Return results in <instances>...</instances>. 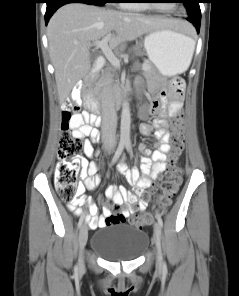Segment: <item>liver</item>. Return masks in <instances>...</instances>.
Segmentation results:
<instances>
[{
    "label": "liver",
    "instance_id": "1",
    "mask_svg": "<svg viewBox=\"0 0 239 296\" xmlns=\"http://www.w3.org/2000/svg\"><path fill=\"white\" fill-rule=\"evenodd\" d=\"M186 24L174 19L145 16L106 9L83 3H69L59 8L47 27L49 54L55 69L58 97L61 102L70 94L78 81L91 70L89 48L111 32L109 45L117 47L162 28H185Z\"/></svg>",
    "mask_w": 239,
    "mask_h": 296
}]
</instances>
